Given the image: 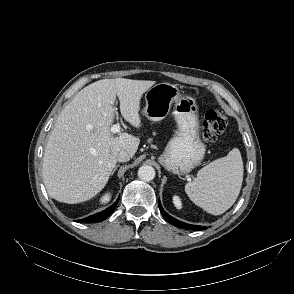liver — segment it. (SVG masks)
<instances>
[{"label":"liver","mask_w":294,"mask_h":294,"mask_svg":"<svg viewBox=\"0 0 294 294\" xmlns=\"http://www.w3.org/2000/svg\"><path fill=\"white\" fill-rule=\"evenodd\" d=\"M156 82L124 78L96 81L62 110L43 156V181L50 197L75 204L96 196L107 184L117 154L133 156L140 139L128 133L114 136L116 96L122 117L136 128L142 95Z\"/></svg>","instance_id":"1"}]
</instances>
